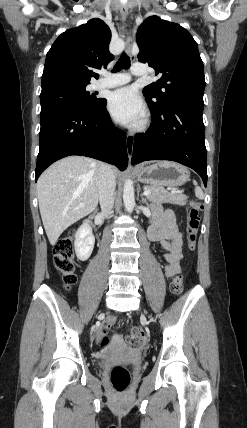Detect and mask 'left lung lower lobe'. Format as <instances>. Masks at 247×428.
<instances>
[{"mask_svg": "<svg viewBox=\"0 0 247 428\" xmlns=\"http://www.w3.org/2000/svg\"><path fill=\"white\" fill-rule=\"evenodd\" d=\"M150 108V107H149ZM152 125L136 135L132 163L171 160L195 170L207 184L203 106L179 100L160 112L150 108Z\"/></svg>", "mask_w": 247, "mask_h": 428, "instance_id": "0a47b994", "label": "left lung lower lobe"}]
</instances>
